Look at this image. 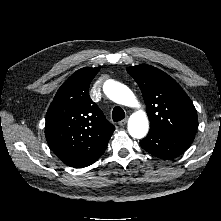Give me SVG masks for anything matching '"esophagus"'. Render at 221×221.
I'll return each instance as SVG.
<instances>
[{"label":"esophagus","mask_w":221,"mask_h":221,"mask_svg":"<svg viewBox=\"0 0 221 221\" xmlns=\"http://www.w3.org/2000/svg\"><path fill=\"white\" fill-rule=\"evenodd\" d=\"M126 123H127V118L121 120V121L118 123V125L122 127V126L126 125Z\"/></svg>","instance_id":"1"}]
</instances>
